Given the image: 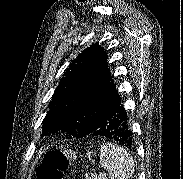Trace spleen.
Returning <instances> with one entry per match:
<instances>
[{
  "label": "spleen",
  "mask_w": 183,
  "mask_h": 179,
  "mask_svg": "<svg viewBox=\"0 0 183 179\" xmlns=\"http://www.w3.org/2000/svg\"><path fill=\"white\" fill-rule=\"evenodd\" d=\"M100 164L109 172V179H129L134 173V160L121 146L105 143L100 147Z\"/></svg>",
  "instance_id": "spleen-1"
}]
</instances>
